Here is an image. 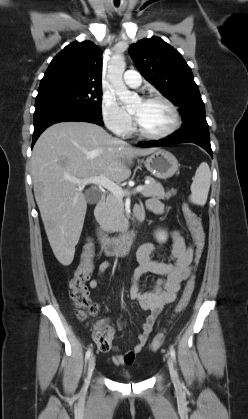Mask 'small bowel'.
<instances>
[{
    "label": "small bowel",
    "mask_w": 248,
    "mask_h": 419,
    "mask_svg": "<svg viewBox=\"0 0 248 419\" xmlns=\"http://www.w3.org/2000/svg\"><path fill=\"white\" fill-rule=\"evenodd\" d=\"M146 207L155 214L164 212L163 204L154 198L148 200ZM171 238L172 244L168 252H160L153 243L142 244L137 250L136 258L139 266L132 274L129 297L137 302L141 309L150 313L145 318L142 331L137 336V343L131 350L120 353L112 340L105 345H98L100 352L113 351L116 353L112 359L115 365L134 363L136 355L144 348L163 306L176 299L183 281L192 274L195 262L193 246L185 242L180 230H174L171 233ZM155 257L158 259H154ZM110 267L109 261L101 262L97 268V277L89 281V287L95 289L99 284L98 278ZM146 275L157 276V280L151 290L141 291L139 281ZM124 325L123 321L118 322L119 328H123Z\"/></svg>",
    "instance_id": "obj_1"
}]
</instances>
